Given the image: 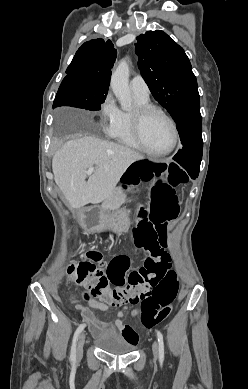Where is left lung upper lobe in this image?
I'll return each instance as SVG.
<instances>
[{
	"instance_id": "5c2ea615",
	"label": "left lung upper lobe",
	"mask_w": 248,
	"mask_h": 389,
	"mask_svg": "<svg viewBox=\"0 0 248 389\" xmlns=\"http://www.w3.org/2000/svg\"><path fill=\"white\" fill-rule=\"evenodd\" d=\"M136 54L141 75L153 97L176 122L188 108L200 105L197 80L182 47L160 30L137 37ZM182 145L189 139L181 138Z\"/></svg>"
}]
</instances>
